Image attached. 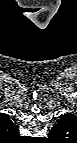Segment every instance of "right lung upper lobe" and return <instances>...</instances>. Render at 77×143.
Wrapping results in <instances>:
<instances>
[{"mask_svg": "<svg viewBox=\"0 0 77 143\" xmlns=\"http://www.w3.org/2000/svg\"><path fill=\"white\" fill-rule=\"evenodd\" d=\"M0 126L2 131L7 134H17L18 132L8 115L0 114Z\"/></svg>", "mask_w": 77, "mask_h": 143, "instance_id": "cb5924a9", "label": "right lung upper lobe"}]
</instances>
